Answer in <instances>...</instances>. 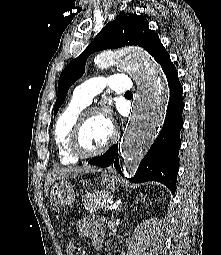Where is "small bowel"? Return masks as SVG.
I'll return each mask as SVG.
<instances>
[{
  "instance_id": "small-bowel-1",
  "label": "small bowel",
  "mask_w": 221,
  "mask_h": 255,
  "mask_svg": "<svg viewBox=\"0 0 221 255\" xmlns=\"http://www.w3.org/2000/svg\"><path fill=\"white\" fill-rule=\"evenodd\" d=\"M76 229L80 236H91L93 240L96 237L103 239L105 233L103 223L97 216H87L80 220L77 223ZM75 250V243L73 241L69 242L66 247L67 255H74Z\"/></svg>"
}]
</instances>
